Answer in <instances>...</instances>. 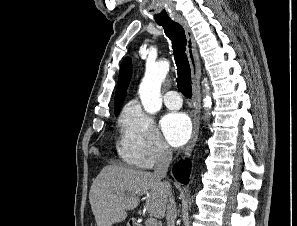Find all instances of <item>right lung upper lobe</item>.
<instances>
[{"label": "right lung upper lobe", "instance_id": "right-lung-upper-lobe-1", "mask_svg": "<svg viewBox=\"0 0 297 226\" xmlns=\"http://www.w3.org/2000/svg\"><path fill=\"white\" fill-rule=\"evenodd\" d=\"M132 76V62L126 57L120 67L118 84L115 94V109L122 106L125 99L126 90Z\"/></svg>", "mask_w": 297, "mask_h": 226}]
</instances>
